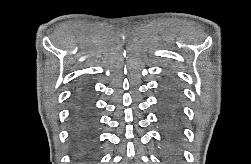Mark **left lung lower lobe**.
<instances>
[{
	"mask_svg": "<svg viewBox=\"0 0 251 164\" xmlns=\"http://www.w3.org/2000/svg\"><path fill=\"white\" fill-rule=\"evenodd\" d=\"M178 92L170 76H167L161 85L160 108L162 111V124L168 134L169 151L175 153L173 138L176 134V116L178 114L177 105Z\"/></svg>",
	"mask_w": 251,
	"mask_h": 164,
	"instance_id": "obj_1",
	"label": "left lung lower lobe"
}]
</instances>
